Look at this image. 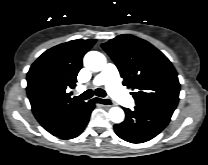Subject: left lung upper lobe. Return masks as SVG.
Here are the masks:
<instances>
[{
  "label": "left lung upper lobe",
  "mask_w": 208,
  "mask_h": 165,
  "mask_svg": "<svg viewBox=\"0 0 208 165\" xmlns=\"http://www.w3.org/2000/svg\"><path fill=\"white\" fill-rule=\"evenodd\" d=\"M115 62L123 84L136 89V106L174 111L180 83L168 58L149 42L124 34L102 44Z\"/></svg>",
  "instance_id": "5c2ea615"
}]
</instances>
